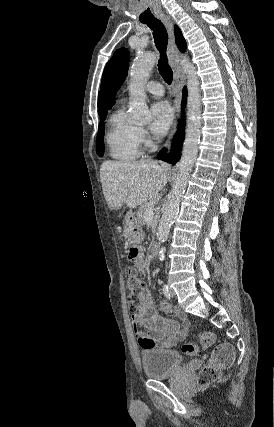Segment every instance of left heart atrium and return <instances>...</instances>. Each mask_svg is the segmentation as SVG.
<instances>
[{"instance_id": "39dd6f15", "label": "left heart atrium", "mask_w": 274, "mask_h": 427, "mask_svg": "<svg viewBox=\"0 0 274 427\" xmlns=\"http://www.w3.org/2000/svg\"><path fill=\"white\" fill-rule=\"evenodd\" d=\"M173 111L167 101H158L151 107V123L149 125L150 132L157 136H164L171 125Z\"/></svg>"}]
</instances>
